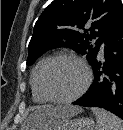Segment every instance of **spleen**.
Returning a JSON list of instances; mask_svg holds the SVG:
<instances>
[{
  "mask_svg": "<svg viewBox=\"0 0 123 130\" xmlns=\"http://www.w3.org/2000/svg\"><path fill=\"white\" fill-rule=\"evenodd\" d=\"M92 112L96 116L97 130H123V120L114 114L96 107L92 108Z\"/></svg>",
  "mask_w": 123,
  "mask_h": 130,
  "instance_id": "obj_1",
  "label": "spleen"
}]
</instances>
